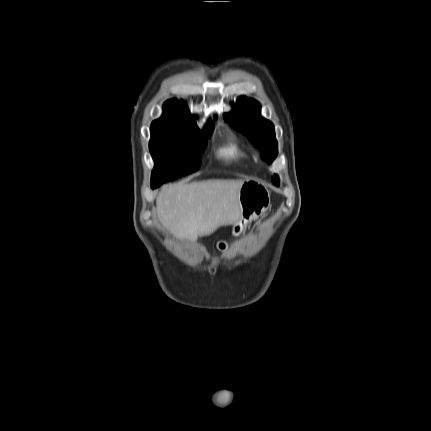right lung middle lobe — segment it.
<instances>
[{
    "label": "right lung middle lobe",
    "mask_w": 431,
    "mask_h": 431,
    "mask_svg": "<svg viewBox=\"0 0 431 431\" xmlns=\"http://www.w3.org/2000/svg\"><path fill=\"white\" fill-rule=\"evenodd\" d=\"M213 129L214 126H210L200 132L152 125L149 149L155 167L151 184L160 186L198 170L199 156L207 145L205 138L210 137Z\"/></svg>",
    "instance_id": "1"
}]
</instances>
